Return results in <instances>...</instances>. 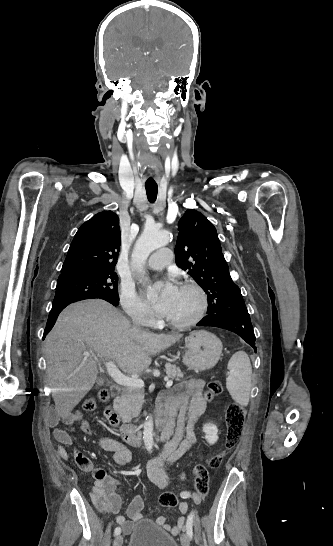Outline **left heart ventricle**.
Masks as SVG:
<instances>
[{"label":"left heart ventricle","mask_w":333,"mask_h":546,"mask_svg":"<svg viewBox=\"0 0 333 546\" xmlns=\"http://www.w3.org/2000/svg\"><path fill=\"white\" fill-rule=\"evenodd\" d=\"M197 307L196 293L190 289L179 287L167 318L178 322L185 321L194 315Z\"/></svg>","instance_id":"1"}]
</instances>
